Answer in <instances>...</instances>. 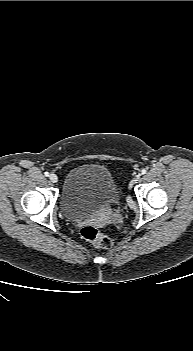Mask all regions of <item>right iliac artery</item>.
Segmentation results:
<instances>
[{
	"mask_svg": "<svg viewBox=\"0 0 193 351\" xmlns=\"http://www.w3.org/2000/svg\"><path fill=\"white\" fill-rule=\"evenodd\" d=\"M44 174H45V176H46V177H48V176H49V172H45Z\"/></svg>",
	"mask_w": 193,
	"mask_h": 351,
	"instance_id": "right-iliac-artery-1",
	"label": "right iliac artery"
}]
</instances>
